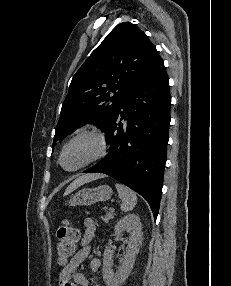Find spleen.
I'll list each match as a JSON object with an SVG mask.
<instances>
[{
	"label": "spleen",
	"mask_w": 231,
	"mask_h": 286,
	"mask_svg": "<svg viewBox=\"0 0 231 286\" xmlns=\"http://www.w3.org/2000/svg\"><path fill=\"white\" fill-rule=\"evenodd\" d=\"M115 187L122 201L121 210L124 212L131 211L137 204L136 193L120 183H116Z\"/></svg>",
	"instance_id": "3e777b00"
}]
</instances>
